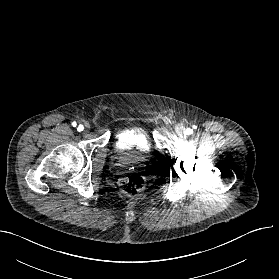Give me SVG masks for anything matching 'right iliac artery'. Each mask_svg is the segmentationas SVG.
I'll list each match as a JSON object with an SVG mask.
<instances>
[{
	"instance_id": "obj_1",
	"label": "right iliac artery",
	"mask_w": 279,
	"mask_h": 279,
	"mask_svg": "<svg viewBox=\"0 0 279 279\" xmlns=\"http://www.w3.org/2000/svg\"><path fill=\"white\" fill-rule=\"evenodd\" d=\"M72 125L75 127L77 124H76V122H73ZM83 129H84L83 125H79L78 128H77V130L79 132L83 131Z\"/></svg>"
}]
</instances>
